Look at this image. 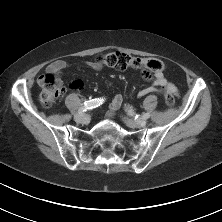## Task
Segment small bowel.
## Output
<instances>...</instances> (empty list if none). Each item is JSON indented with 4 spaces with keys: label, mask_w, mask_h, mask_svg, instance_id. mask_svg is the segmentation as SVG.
Returning <instances> with one entry per match:
<instances>
[{
    "label": "small bowel",
    "mask_w": 222,
    "mask_h": 222,
    "mask_svg": "<svg viewBox=\"0 0 222 222\" xmlns=\"http://www.w3.org/2000/svg\"><path fill=\"white\" fill-rule=\"evenodd\" d=\"M86 65L95 71H100L102 69V66L99 65L97 62L89 61V62H86ZM68 67H69V64L66 61L56 60L50 63L47 66L46 70L49 73L61 74ZM138 74L140 78H143L145 81L152 83L151 86L146 87L138 92L139 97H143L148 94L158 92L159 88L167 89L174 96L178 95L177 87L174 84L170 83L165 78L162 72L154 73L143 68L139 70ZM122 102H123V98L120 94H117L113 97L112 101L109 104L110 117L113 116V112L121 106Z\"/></svg>",
    "instance_id": "small-bowel-1"
}]
</instances>
